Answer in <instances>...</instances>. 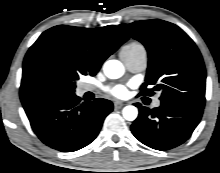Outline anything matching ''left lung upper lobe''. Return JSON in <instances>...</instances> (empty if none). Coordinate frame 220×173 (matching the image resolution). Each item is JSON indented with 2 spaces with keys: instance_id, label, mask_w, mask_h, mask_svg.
<instances>
[{
  "instance_id": "1",
  "label": "left lung upper lobe",
  "mask_w": 220,
  "mask_h": 173,
  "mask_svg": "<svg viewBox=\"0 0 220 173\" xmlns=\"http://www.w3.org/2000/svg\"><path fill=\"white\" fill-rule=\"evenodd\" d=\"M140 41L149 55L145 83L139 95L161 91V101L172 100L204 108L206 71L193 40L178 26L163 20L120 25ZM154 86L153 89L147 88Z\"/></svg>"
}]
</instances>
